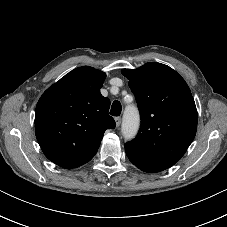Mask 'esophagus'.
Here are the masks:
<instances>
[{
  "label": "esophagus",
  "instance_id": "34e87169",
  "mask_svg": "<svg viewBox=\"0 0 227 227\" xmlns=\"http://www.w3.org/2000/svg\"><path fill=\"white\" fill-rule=\"evenodd\" d=\"M115 123H116V127H119L121 124V117H115Z\"/></svg>",
  "mask_w": 227,
  "mask_h": 227
}]
</instances>
